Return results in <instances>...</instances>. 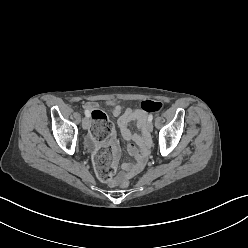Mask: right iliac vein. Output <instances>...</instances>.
Masks as SVG:
<instances>
[{"instance_id": "obj_1", "label": "right iliac vein", "mask_w": 248, "mask_h": 248, "mask_svg": "<svg viewBox=\"0 0 248 248\" xmlns=\"http://www.w3.org/2000/svg\"><path fill=\"white\" fill-rule=\"evenodd\" d=\"M90 126V120L88 117H85L83 120H82V127L84 130H87Z\"/></svg>"}]
</instances>
